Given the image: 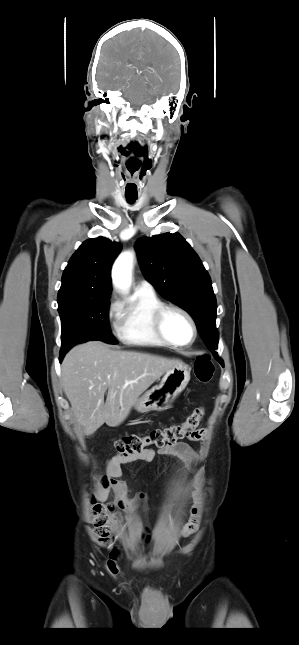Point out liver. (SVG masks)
<instances>
[{
	"instance_id": "liver-1",
	"label": "liver",
	"mask_w": 299,
	"mask_h": 645,
	"mask_svg": "<svg viewBox=\"0 0 299 645\" xmlns=\"http://www.w3.org/2000/svg\"><path fill=\"white\" fill-rule=\"evenodd\" d=\"M179 363L177 359L113 350L103 342L90 341L66 354L61 380L77 423L90 435L104 423L110 427L122 424L139 396Z\"/></svg>"
}]
</instances>
